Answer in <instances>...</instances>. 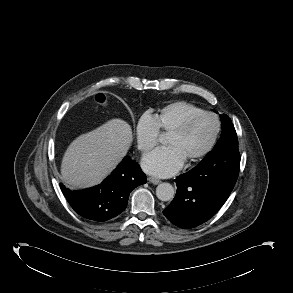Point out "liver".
Returning a JSON list of instances; mask_svg holds the SVG:
<instances>
[{
    "label": "liver",
    "mask_w": 293,
    "mask_h": 293,
    "mask_svg": "<svg viewBox=\"0 0 293 293\" xmlns=\"http://www.w3.org/2000/svg\"><path fill=\"white\" fill-rule=\"evenodd\" d=\"M132 141L131 126L118 118L80 135L63 156L62 181L72 189L99 184L127 154Z\"/></svg>",
    "instance_id": "liver-1"
}]
</instances>
